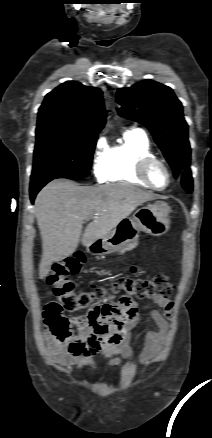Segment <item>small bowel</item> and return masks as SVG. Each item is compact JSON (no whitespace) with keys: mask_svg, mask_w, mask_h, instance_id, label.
<instances>
[{"mask_svg":"<svg viewBox=\"0 0 212 438\" xmlns=\"http://www.w3.org/2000/svg\"><path fill=\"white\" fill-rule=\"evenodd\" d=\"M131 271L135 272L136 269L132 268ZM152 301L156 307L143 313L138 311L136 302L128 297H122L117 304L97 305L85 316L70 318L78 327L76 335L69 331L64 336H58L45 323L49 348L65 366L96 370L97 366L91 357L98 355L112 358L109 366L118 367L121 361L116 356L122 354L127 360L134 359L129 345L130 329L142 318H148L155 329L147 334L145 348L137 358L139 363L147 364L156 358L162 348L168 330L165 317L171 316L173 308L168 298L157 297Z\"/></svg>","mask_w":212,"mask_h":438,"instance_id":"c3829d8e","label":"small bowel"}]
</instances>
